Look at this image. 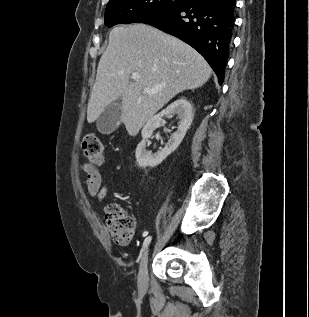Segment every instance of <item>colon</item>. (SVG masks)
Listing matches in <instances>:
<instances>
[{
    "label": "colon",
    "mask_w": 309,
    "mask_h": 317,
    "mask_svg": "<svg viewBox=\"0 0 309 317\" xmlns=\"http://www.w3.org/2000/svg\"><path fill=\"white\" fill-rule=\"evenodd\" d=\"M82 148L88 160L95 164H101L104 159V147L100 138L88 133L84 136ZM106 229L111 239L119 245H127L135 231L134 219L119 205L111 204L107 207Z\"/></svg>",
    "instance_id": "5ec220e1"
}]
</instances>
